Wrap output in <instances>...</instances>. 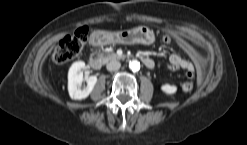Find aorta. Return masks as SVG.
Instances as JSON below:
<instances>
[{"mask_svg": "<svg viewBox=\"0 0 247 145\" xmlns=\"http://www.w3.org/2000/svg\"><path fill=\"white\" fill-rule=\"evenodd\" d=\"M129 68L132 71H138L140 69V62L137 60H132L129 62Z\"/></svg>", "mask_w": 247, "mask_h": 145, "instance_id": "762f6f07", "label": "aorta"}]
</instances>
